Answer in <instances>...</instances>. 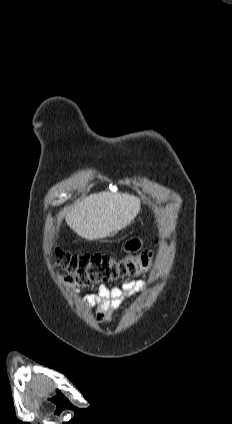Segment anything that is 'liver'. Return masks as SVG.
Returning <instances> with one entry per match:
<instances>
[{"instance_id":"obj_1","label":"liver","mask_w":232,"mask_h":424,"mask_svg":"<svg viewBox=\"0 0 232 424\" xmlns=\"http://www.w3.org/2000/svg\"><path fill=\"white\" fill-rule=\"evenodd\" d=\"M140 206L139 198L127 193L92 194L73 206L66 223L82 238L102 239L130 224Z\"/></svg>"}]
</instances>
